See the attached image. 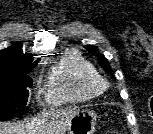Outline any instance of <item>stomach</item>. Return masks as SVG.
<instances>
[{
    "mask_svg": "<svg viewBox=\"0 0 153 134\" xmlns=\"http://www.w3.org/2000/svg\"><path fill=\"white\" fill-rule=\"evenodd\" d=\"M97 119L90 110H77L69 122L68 134H94Z\"/></svg>",
    "mask_w": 153,
    "mask_h": 134,
    "instance_id": "obj_1",
    "label": "stomach"
}]
</instances>
